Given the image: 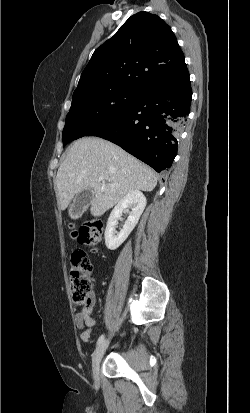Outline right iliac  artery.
I'll use <instances>...</instances> for the list:
<instances>
[{
  "label": "right iliac artery",
  "instance_id": "1",
  "mask_svg": "<svg viewBox=\"0 0 250 413\" xmlns=\"http://www.w3.org/2000/svg\"><path fill=\"white\" fill-rule=\"evenodd\" d=\"M104 338H105V335H104V334L101 335V336L98 338L97 345H100V344L104 341Z\"/></svg>",
  "mask_w": 250,
  "mask_h": 413
}]
</instances>
